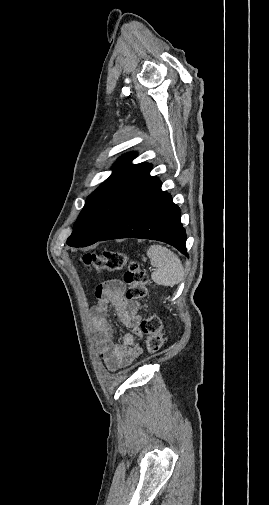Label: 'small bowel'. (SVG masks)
Returning <instances> with one entry per match:
<instances>
[{"instance_id":"c3829d8e","label":"small bowel","mask_w":269,"mask_h":505,"mask_svg":"<svg viewBox=\"0 0 269 505\" xmlns=\"http://www.w3.org/2000/svg\"><path fill=\"white\" fill-rule=\"evenodd\" d=\"M97 304L91 310L95 339L106 367L116 371L130 365L141 354V348L134 344L135 337H142L136 303L124 295V285L118 279H108L94 290ZM110 308L116 317L131 330L124 335L123 342H114V329L108 319Z\"/></svg>"}]
</instances>
